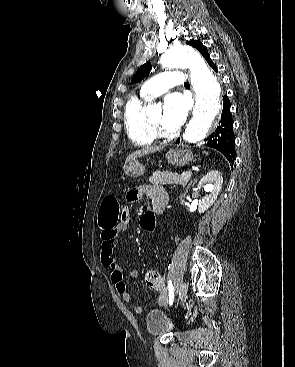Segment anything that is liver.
<instances>
[{
  "label": "liver",
  "instance_id": "liver-1",
  "mask_svg": "<svg viewBox=\"0 0 295 367\" xmlns=\"http://www.w3.org/2000/svg\"><path fill=\"white\" fill-rule=\"evenodd\" d=\"M162 149L161 146H158V147H153V146H147V147H144L140 150H136L135 152L131 153L127 158H126V161L125 163H128L130 161H133L135 160L136 158H140V157H143V156H146L148 154H151V153H154V152H157V151H160Z\"/></svg>",
  "mask_w": 295,
  "mask_h": 367
}]
</instances>
